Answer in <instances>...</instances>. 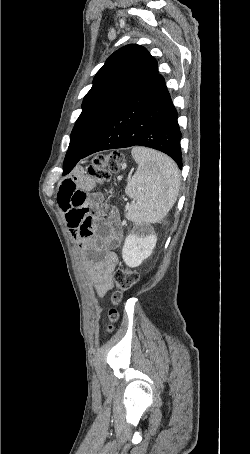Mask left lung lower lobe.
I'll list each match as a JSON object with an SVG mask.
<instances>
[{"instance_id": "left-lung-lower-lobe-1", "label": "left lung lower lobe", "mask_w": 250, "mask_h": 454, "mask_svg": "<svg viewBox=\"0 0 250 454\" xmlns=\"http://www.w3.org/2000/svg\"><path fill=\"white\" fill-rule=\"evenodd\" d=\"M177 118L165 80L157 75L107 119L82 155L66 154L63 175L95 152L135 145L166 153L182 169Z\"/></svg>"}]
</instances>
